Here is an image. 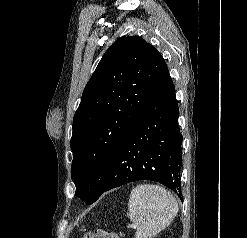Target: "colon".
I'll return each instance as SVG.
<instances>
[{
    "label": "colon",
    "mask_w": 247,
    "mask_h": 238,
    "mask_svg": "<svg viewBox=\"0 0 247 238\" xmlns=\"http://www.w3.org/2000/svg\"><path fill=\"white\" fill-rule=\"evenodd\" d=\"M82 238H119V236L112 231L95 229L86 233Z\"/></svg>",
    "instance_id": "colon-1"
}]
</instances>
